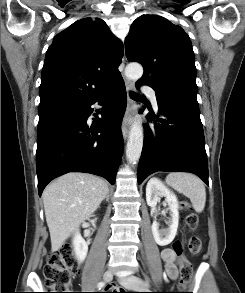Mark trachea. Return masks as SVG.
Returning <instances> with one entry per match:
<instances>
[{
    "mask_svg": "<svg viewBox=\"0 0 245 293\" xmlns=\"http://www.w3.org/2000/svg\"><path fill=\"white\" fill-rule=\"evenodd\" d=\"M130 96H131L132 98H135V97H141L139 94H137V93H135V92H131V93H130Z\"/></svg>",
    "mask_w": 245,
    "mask_h": 293,
    "instance_id": "3493384b",
    "label": "trachea"
}]
</instances>
